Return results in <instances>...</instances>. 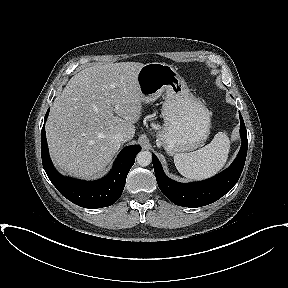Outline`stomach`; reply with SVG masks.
<instances>
[{
  "label": "stomach",
  "mask_w": 288,
  "mask_h": 288,
  "mask_svg": "<svg viewBox=\"0 0 288 288\" xmlns=\"http://www.w3.org/2000/svg\"><path fill=\"white\" fill-rule=\"evenodd\" d=\"M143 103H152L164 93V124L159 143L169 155L184 154L201 147L210 134L211 113L195 97L172 65L145 64L137 74Z\"/></svg>",
  "instance_id": "obj_1"
}]
</instances>
